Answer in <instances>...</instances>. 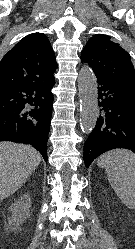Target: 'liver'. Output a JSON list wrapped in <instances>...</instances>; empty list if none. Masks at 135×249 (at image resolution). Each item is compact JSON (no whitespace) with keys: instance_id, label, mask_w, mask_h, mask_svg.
Listing matches in <instances>:
<instances>
[{"instance_id":"obj_1","label":"liver","mask_w":135,"mask_h":249,"mask_svg":"<svg viewBox=\"0 0 135 249\" xmlns=\"http://www.w3.org/2000/svg\"><path fill=\"white\" fill-rule=\"evenodd\" d=\"M42 160L32 146L0 142V201L14 194Z\"/></svg>"}]
</instances>
